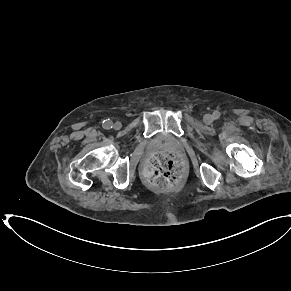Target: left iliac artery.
Listing matches in <instances>:
<instances>
[{"label":"left iliac artery","instance_id":"obj_1","mask_svg":"<svg viewBox=\"0 0 291 291\" xmlns=\"http://www.w3.org/2000/svg\"><path fill=\"white\" fill-rule=\"evenodd\" d=\"M213 116H214V119H218V118L220 117V112L215 111V112L213 113Z\"/></svg>","mask_w":291,"mask_h":291}]
</instances>
